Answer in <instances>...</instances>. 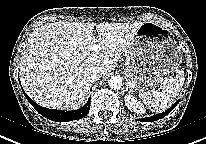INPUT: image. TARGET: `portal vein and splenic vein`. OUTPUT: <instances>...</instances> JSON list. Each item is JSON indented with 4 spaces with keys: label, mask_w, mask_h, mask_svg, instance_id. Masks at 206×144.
Listing matches in <instances>:
<instances>
[{
    "label": "portal vein and splenic vein",
    "mask_w": 206,
    "mask_h": 144,
    "mask_svg": "<svg viewBox=\"0 0 206 144\" xmlns=\"http://www.w3.org/2000/svg\"><path fill=\"white\" fill-rule=\"evenodd\" d=\"M89 49H90L91 51H94V52H99L100 49H101V47H100V45H98V44H92V45L89 46Z\"/></svg>",
    "instance_id": "portal-vein-and-splenic-vein-1"
}]
</instances>
